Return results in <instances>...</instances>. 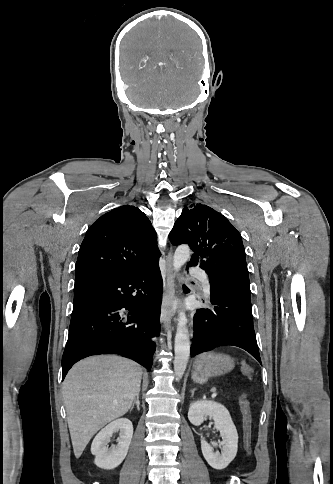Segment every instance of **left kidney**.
<instances>
[{"label":"left kidney","instance_id":"left-kidney-1","mask_svg":"<svg viewBox=\"0 0 333 484\" xmlns=\"http://www.w3.org/2000/svg\"><path fill=\"white\" fill-rule=\"evenodd\" d=\"M213 418L215 428L220 431L222 441L219 443L221 453L214 452L212 445L201 436V450L207 463L214 469H224L235 458L238 449V433L229 411L220 403L211 400H198L191 403L188 412L189 421L199 426L205 417ZM213 446H218L213 443Z\"/></svg>","mask_w":333,"mask_h":484}]
</instances>
